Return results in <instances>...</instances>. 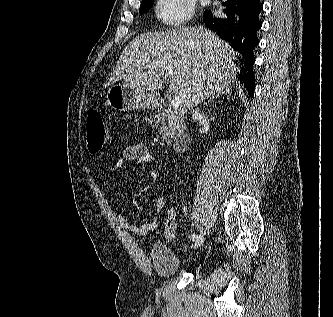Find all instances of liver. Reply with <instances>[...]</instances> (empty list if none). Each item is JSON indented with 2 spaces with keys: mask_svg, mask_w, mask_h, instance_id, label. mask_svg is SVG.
Here are the masks:
<instances>
[{
  "mask_svg": "<svg viewBox=\"0 0 333 317\" xmlns=\"http://www.w3.org/2000/svg\"><path fill=\"white\" fill-rule=\"evenodd\" d=\"M235 55L228 43L202 27L143 33L123 50L109 84L124 79L144 91H158L169 78V89L182 99L184 110H191L230 89Z\"/></svg>",
  "mask_w": 333,
  "mask_h": 317,
  "instance_id": "liver-1",
  "label": "liver"
}]
</instances>
